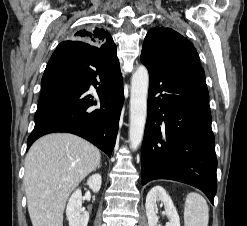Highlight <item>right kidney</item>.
Listing matches in <instances>:
<instances>
[{"label":"right kidney","mask_w":247,"mask_h":226,"mask_svg":"<svg viewBox=\"0 0 247 226\" xmlns=\"http://www.w3.org/2000/svg\"><path fill=\"white\" fill-rule=\"evenodd\" d=\"M101 183L102 178L100 174H94L87 180V185L94 193L100 190ZM66 216L69 226H87L89 213L82 208V193L80 189H77L71 195L66 208Z\"/></svg>","instance_id":"obj_1"}]
</instances>
